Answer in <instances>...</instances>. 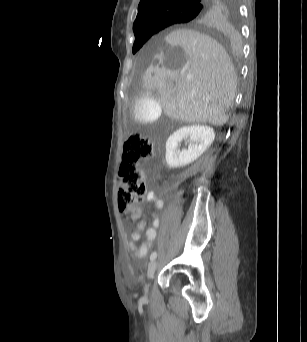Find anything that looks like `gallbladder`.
<instances>
[{"label":"gallbladder","mask_w":307,"mask_h":342,"mask_svg":"<svg viewBox=\"0 0 307 342\" xmlns=\"http://www.w3.org/2000/svg\"><path fill=\"white\" fill-rule=\"evenodd\" d=\"M137 103L134 104L133 118L136 123H155L159 118L161 105L151 95H139Z\"/></svg>","instance_id":"gallbladder-1"}]
</instances>
